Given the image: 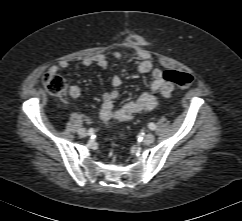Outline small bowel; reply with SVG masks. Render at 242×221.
<instances>
[{
    "label": "small bowel",
    "instance_id": "c3829d8e",
    "mask_svg": "<svg viewBox=\"0 0 242 221\" xmlns=\"http://www.w3.org/2000/svg\"><path fill=\"white\" fill-rule=\"evenodd\" d=\"M129 51L133 53L139 60L137 70L139 73H151L152 82L148 91L142 93L134 100L128 101L120 108L114 107V102L117 99L119 92L118 88L122 84V80L118 76H114L111 80L112 89L103 95V103L100 111V118L104 122L111 120L128 121L142 111L156 109L160 106V98H169L172 95L174 87L172 83L163 78V71L153 66V59L150 51L138 39L123 42L119 45L118 50L113 52V57L117 60H122L123 55L121 51ZM82 64L86 67L96 64L100 68L108 67V60L105 55L98 54L95 56L85 57ZM69 67L67 60H61L57 65L49 68L51 72H56L59 69H66ZM81 90L78 86L73 85L70 88V95L73 99L80 97Z\"/></svg>",
    "mask_w": 242,
    "mask_h": 221
}]
</instances>
